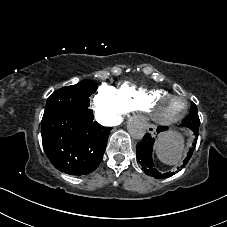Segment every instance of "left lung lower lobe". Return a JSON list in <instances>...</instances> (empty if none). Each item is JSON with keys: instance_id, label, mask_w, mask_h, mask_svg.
<instances>
[{"instance_id": "0a47b994", "label": "left lung lower lobe", "mask_w": 227, "mask_h": 227, "mask_svg": "<svg viewBox=\"0 0 227 227\" xmlns=\"http://www.w3.org/2000/svg\"><path fill=\"white\" fill-rule=\"evenodd\" d=\"M166 129L167 128L163 127V126L158 127L157 133L162 132ZM190 129L194 132L195 142H196L197 138H198V130L199 129H195V128H190ZM154 141L155 140L151 136V134H149V133L145 134V136L143 137V140L141 142H139L137 144V147H136L137 161L141 164L144 171L148 175H150L154 178L161 179V178L171 177L174 174V172L161 173L154 166V163H153V160H152V150H153ZM194 148H195V143L190 148V150L187 154V157L185 158L184 163L181 166V168H183L188 163V161L190 160V158L193 154Z\"/></svg>"}]
</instances>
